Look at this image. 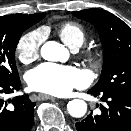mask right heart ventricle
<instances>
[{"mask_svg":"<svg viewBox=\"0 0 131 131\" xmlns=\"http://www.w3.org/2000/svg\"><path fill=\"white\" fill-rule=\"evenodd\" d=\"M61 40L71 49H78L85 41V30L76 22H65L58 28Z\"/></svg>","mask_w":131,"mask_h":131,"instance_id":"right-heart-ventricle-1","label":"right heart ventricle"}]
</instances>
